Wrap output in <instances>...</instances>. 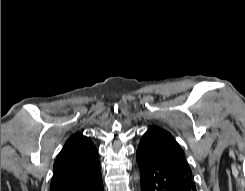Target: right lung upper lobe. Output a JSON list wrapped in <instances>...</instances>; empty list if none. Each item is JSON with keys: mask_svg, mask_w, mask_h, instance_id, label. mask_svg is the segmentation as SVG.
Instances as JSON below:
<instances>
[{"mask_svg": "<svg viewBox=\"0 0 245 191\" xmlns=\"http://www.w3.org/2000/svg\"><path fill=\"white\" fill-rule=\"evenodd\" d=\"M100 168L98 152L92 141L82 134L70 137L57 156L53 167L51 191L85 178Z\"/></svg>", "mask_w": 245, "mask_h": 191, "instance_id": "obj_1", "label": "right lung upper lobe"}]
</instances>
